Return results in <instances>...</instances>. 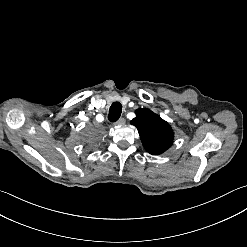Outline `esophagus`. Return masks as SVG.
I'll use <instances>...</instances> for the list:
<instances>
[{
    "instance_id": "34e87169",
    "label": "esophagus",
    "mask_w": 247,
    "mask_h": 247,
    "mask_svg": "<svg viewBox=\"0 0 247 247\" xmlns=\"http://www.w3.org/2000/svg\"><path fill=\"white\" fill-rule=\"evenodd\" d=\"M126 120L124 118H120L118 121L115 122V125L120 126L125 124Z\"/></svg>"
}]
</instances>
